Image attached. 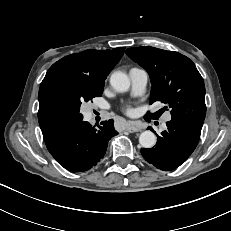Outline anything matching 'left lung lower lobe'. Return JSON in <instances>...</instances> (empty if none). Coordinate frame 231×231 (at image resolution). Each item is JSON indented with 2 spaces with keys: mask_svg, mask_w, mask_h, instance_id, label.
I'll return each mask as SVG.
<instances>
[{
  "mask_svg": "<svg viewBox=\"0 0 231 231\" xmlns=\"http://www.w3.org/2000/svg\"><path fill=\"white\" fill-rule=\"evenodd\" d=\"M145 119L150 120L146 116ZM166 124L168 129L161 136L157 135L156 146L141 149V154L148 163L169 171L179 167L192 154L199 142L201 130L180 121L170 120Z\"/></svg>",
  "mask_w": 231,
  "mask_h": 231,
  "instance_id": "1",
  "label": "left lung lower lobe"
}]
</instances>
